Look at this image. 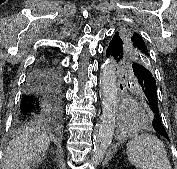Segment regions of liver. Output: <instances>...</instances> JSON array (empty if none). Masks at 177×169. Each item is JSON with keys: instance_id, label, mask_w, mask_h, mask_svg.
I'll list each match as a JSON object with an SVG mask.
<instances>
[{"instance_id": "obj_1", "label": "liver", "mask_w": 177, "mask_h": 169, "mask_svg": "<svg viewBox=\"0 0 177 169\" xmlns=\"http://www.w3.org/2000/svg\"><path fill=\"white\" fill-rule=\"evenodd\" d=\"M50 137L41 127L28 128L9 142L2 169H30L43 160Z\"/></svg>"}]
</instances>
